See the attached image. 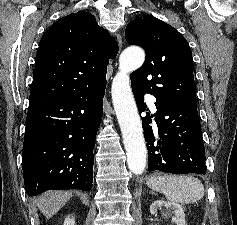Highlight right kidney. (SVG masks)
<instances>
[{
  "mask_svg": "<svg viewBox=\"0 0 237 225\" xmlns=\"http://www.w3.org/2000/svg\"><path fill=\"white\" fill-rule=\"evenodd\" d=\"M63 225H75V219L73 216H67L64 220Z\"/></svg>",
  "mask_w": 237,
  "mask_h": 225,
  "instance_id": "right-kidney-1",
  "label": "right kidney"
}]
</instances>
